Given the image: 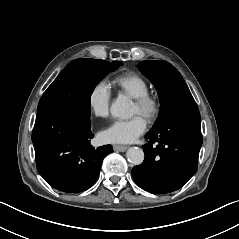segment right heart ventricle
Listing matches in <instances>:
<instances>
[{
	"mask_svg": "<svg viewBox=\"0 0 239 239\" xmlns=\"http://www.w3.org/2000/svg\"><path fill=\"white\" fill-rule=\"evenodd\" d=\"M114 83L132 97H137L149 90V83L145 78L135 72H128L116 76Z\"/></svg>",
	"mask_w": 239,
	"mask_h": 239,
	"instance_id": "right-heart-ventricle-1",
	"label": "right heart ventricle"
}]
</instances>
